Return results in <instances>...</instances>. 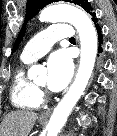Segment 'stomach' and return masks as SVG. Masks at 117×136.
I'll return each mask as SVG.
<instances>
[{
    "mask_svg": "<svg viewBox=\"0 0 117 136\" xmlns=\"http://www.w3.org/2000/svg\"><path fill=\"white\" fill-rule=\"evenodd\" d=\"M39 122H40V123H43V122H44V120L40 118V119H39Z\"/></svg>",
    "mask_w": 117,
    "mask_h": 136,
    "instance_id": "0dacf381",
    "label": "stomach"
}]
</instances>
